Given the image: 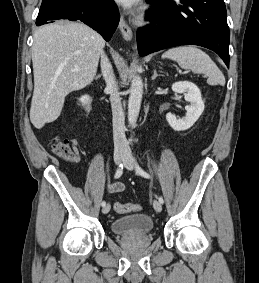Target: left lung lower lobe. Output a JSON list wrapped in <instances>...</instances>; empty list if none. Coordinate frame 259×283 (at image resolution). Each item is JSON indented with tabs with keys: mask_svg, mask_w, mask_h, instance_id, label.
<instances>
[{
	"mask_svg": "<svg viewBox=\"0 0 259 283\" xmlns=\"http://www.w3.org/2000/svg\"><path fill=\"white\" fill-rule=\"evenodd\" d=\"M151 24L137 32L140 56L180 45L216 52L229 67L230 32L223 0H147Z\"/></svg>",
	"mask_w": 259,
	"mask_h": 283,
	"instance_id": "obj_1",
	"label": "left lung lower lobe"
}]
</instances>
